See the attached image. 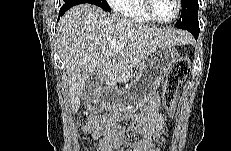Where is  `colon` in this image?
<instances>
[{
  "instance_id": "obj_1",
  "label": "colon",
  "mask_w": 231,
  "mask_h": 151,
  "mask_svg": "<svg viewBox=\"0 0 231 151\" xmlns=\"http://www.w3.org/2000/svg\"><path fill=\"white\" fill-rule=\"evenodd\" d=\"M190 71V61L187 57H181L172 65L164 83L162 99L170 116H174L176 97L179 86L186 79Z\"/></svg>"
}]
</instances>
